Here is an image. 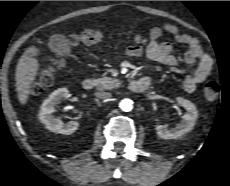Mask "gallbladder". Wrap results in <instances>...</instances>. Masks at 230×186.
I'll list each match as a JSON object with an SVG mask.
<instances>
[{"instance_id":"1","label":"gallbladder","mask_w":230,"mask_h":186,"mask_svg":"<svg viewBox=\"0 0 230 186\" xmlns=\"http://www.w3.org/2000/svg\"><path fill=\"white\" fill-rule=\"evenodd\" d=\"M50 50L57 55H67L69 52V48L66 43V39L62 35H54L49 42Z\"/></svg>"}]
</instances>
